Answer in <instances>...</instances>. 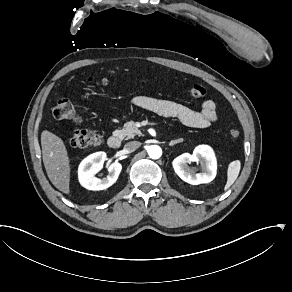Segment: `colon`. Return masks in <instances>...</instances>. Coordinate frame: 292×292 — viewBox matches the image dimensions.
I'll use <instances>...</instances> for the list:
<instances>
[{
	"label": "colon",
	"mask_w": 292,
	"mask_h": 292,
	"mask_svg": "<svg viewBox=\"0 0 292 292\" xmlns=\"http://www.w3.org/2000/svg\"><path fill=\"white\" fill-rule=\"evenodd\" d=\"M94 78L88 76L87 83H92ZM189 94L196 98H203L206 95V89L201 84L195 83L190 85ZM53 116L58 120H67L72 123L78 124L81 122V116L78 114L74 104L68 98H61L57 101L54 109ZM229 136L232 139H237L240 136V131L237 127L229 129ZM102 141V135L95 130H79L75 129L68 134V143L71 148H87L97 146Z\"/></svg>",
	"instance_id": "obj_1"
}]
</instances>
